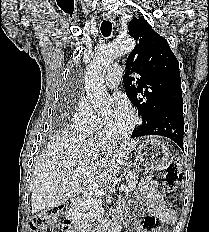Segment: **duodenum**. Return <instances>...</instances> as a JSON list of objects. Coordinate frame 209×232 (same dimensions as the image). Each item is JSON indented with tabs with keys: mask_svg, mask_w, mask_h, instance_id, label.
Here are the masks:
<instances>
[{
	"mask_svg": "<svg viewBox=\"0 0 209 232\" xmlns=\"http://www.w3.org/2000/svg\"><path fill=\"white\" fill-rule=\"evenodd\" d=\"M82 197L74 196L71 198L70 207L68 209V215L71 219L72 232H88L86 227H84L79 221L74 218V213L76 208L81 204ZM70 227V223L66 224V228ZM94 232H119V226L116 222L109 225L103 224L99 226Z\"/></svg>",
	"mask_w": 209,
	"mask_h": 232,
	"instance_id": "410a0bca",
	"label": "duodenum"
}]
</instances>
